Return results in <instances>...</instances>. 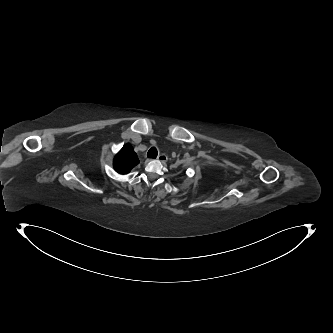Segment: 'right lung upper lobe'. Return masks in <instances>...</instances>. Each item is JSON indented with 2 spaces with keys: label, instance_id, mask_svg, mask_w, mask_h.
<instances>
[{
  "label": "right lung upper lobe",
  "instance_id": "obj_1",
  "mask_svg": "<svg viewBox=\"0 0 333 333\" xmlns=\"http://www.w3.org/2000/svg\"><path fill=\"white\" fill-rule=\"evenodd\" d=\"M138 164L139 159L130 144L124 145L113 160V167L119 174L129 173Z\"/></svg>",
  "mask_w": 333,
  "mask_h": 333
}]
</instances>
